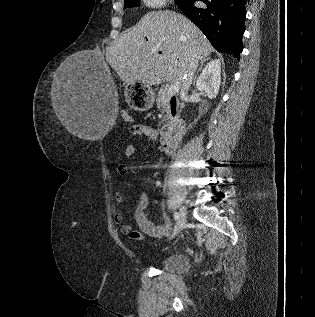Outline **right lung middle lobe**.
<instances>
[{
    "mask_svg": "<svg viewBox=\"0 0 315 317\" xmlns=\"http://www.w3.org/2000/svg\"><path fill=\"white\" fill-rule=\"evenodd\" d=\"M180 0H176V3H178ZM140 4V0H125V7L131 8V7H137Z\"/></svg>",
    "mask_w": 315,
    "mask_h": 317,
    "instance_id": "obj_1",
    "label": "right lung middle lobe"
}]
</instances>
